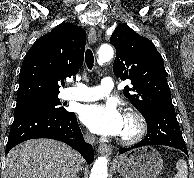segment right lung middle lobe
Wrapping results in <instances>:
<instances>
[{"label": "right lung middle lobe", "mask_w": 194, "mask_h": 178, "mask_svg": "<svg viewBox=\"0 0 194 178\" xmlns=\"http://www.w3.org/2000/svg\"><path fill=\"white\" fill-rule=\"evenodd\" d=\"M32 108L46 109L60 114L67 112V110L61 106L60 100L57 96L17 102L15 111Z\"/></svg>", "instance_id": "1"}]
</instances>
